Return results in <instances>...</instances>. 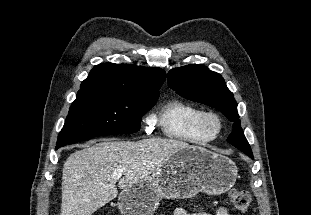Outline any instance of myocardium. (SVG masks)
Instances as JSON below:
<instances>
[{"instance_id": "obj_1", "label": "myocardium", "mask_w": 311, "mask_h": 215, "mask_svg": "<svg viewBox=\"0 0 311 215\" xmlns=\"http://www.w3.org/2000/svg\"><path fill=\"white\" fill-rule=\"evenodd\" d=\"M200 128L211 137H216L222 129V119L213 111L204 112L200 119Z\"/></svg>"}]
</instances>
